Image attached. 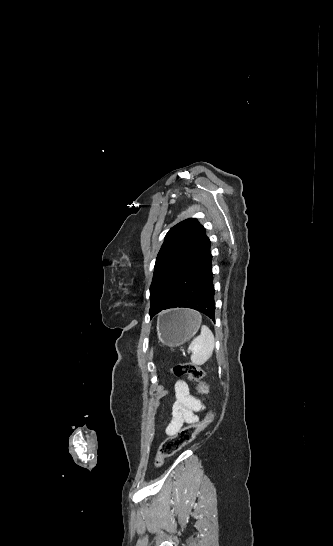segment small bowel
Returning <instances> with one entry per match:
<instances>
[{
    "mask_svg": "<svg viewBox=\"0 0 333 546\" xmlns=\"http://www.w3.org/2000/svg\"><path fill=\"white\" fill-rule=\"evenodd\" d=\"M174 392L176 400L166 426L168 436L177 433L184 424L197 422V413L203 409L200 402L190 394L189 386L184 380L175 382Z\"/></svg>",
    "mask_w": 333,
    "mask_h": 546,
    "instance_id": "obj_1",
    "label": "small bowel"
}]
</instances>
